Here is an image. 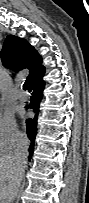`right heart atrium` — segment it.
<instances>
[{"instance_id": "1", "label": "right heart atrium", "mask_w": 89, "mask_h": 203, "mask_svg": "<svg viewBox=\"0 0 89 203\" xmlns=\"http://www.w3.org/2000/svg\"><path fill=\"white\" fill-rule=\"evenodd\" d=\"M23 134L19 131L12 113L0 114V145L6 151H12L22 140Z\"/></svg>"}]
</instances>
